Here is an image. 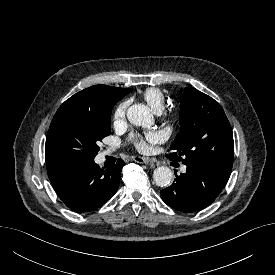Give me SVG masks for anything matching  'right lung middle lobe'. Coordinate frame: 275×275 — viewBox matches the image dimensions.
I'll return each mask as SVG.
<instances>
[{"label":"right lung middle lobe","instance_id":"1","mask_svg":"<svg viewBox=\"0 0 275 275\" xmlns=\"http://www.w3.org/2000/svg\"><path fill=\"white\" fill-rule=\"evenodd\" d=\"M112 108L102 114L67 116L52 122L46 138V163L94 160L99 141L110 134Z\"/></svg>","mask_w":275,"mask_h":275}]
</instances>
